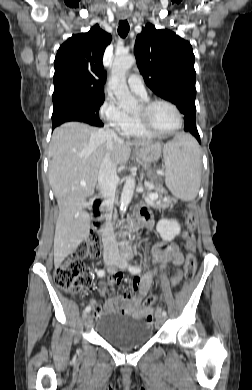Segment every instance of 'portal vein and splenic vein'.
I'll list each match as a JSON object with an SVG mask.
<instances>
[{"instance_id":"18ae733b","label":"portal vein and splenic vein","mask_w":252,"mask_h":390,"mask_svg":"<svg viewBox=\"0 0 252 390\" xmlns=\"http://www.w3.org/2000/svg\"><path fill=\"white\" fill-rule=\"evenodd\" d=\"M80 185H81V186H85L86 183H85V182H81ZM147 186L150 187V184H147ZM149 196L151 197V199H157V198H158V195H157V194H150Z\"/></svg>"}]
</instances>
